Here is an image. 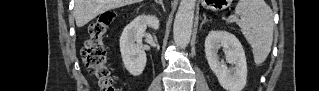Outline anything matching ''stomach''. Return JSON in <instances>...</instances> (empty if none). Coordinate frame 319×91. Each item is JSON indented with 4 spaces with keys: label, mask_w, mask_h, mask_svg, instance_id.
I'll return each instance as SVG.
<instances>
[{
    "label": "stomach",
    "mask_w": 319,
    "mask_h": 91,
    "mask_svg": "<svg viewBox=\"0 0 319 91\" xmlns=\"http://www.w3.org/2000/svg\"><path fill=\"white\" fill-rule=\"evenodd\" d=\"M205 2L209 5L210 8H216L217 10H223L230 4L229 0H213Z\"/></svg>",
    "instance_id": "stomach-1"
}]
</instances>
